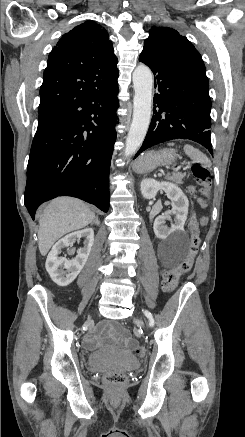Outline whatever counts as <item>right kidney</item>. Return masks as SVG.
<instances>
[{
  "mask_svg": "<svg viewBox=\"0 0 245 437\" xmlns=\"http://www.w3.org/2000/svg\"><path fill=\"white\" fill-rule=\"evenodd\" d=\"M84 237L83 247L77 251V256L68 260L60 257L59 254L64 247L72 246L77 240ZM94 242V231L92 228L72 232L60 239L52 248L46 259V270L53 282L59 286H67L72 283L83 269ZM74 253V250H70Z\"/></svg>",
  "mask_w": 245,
  "mask_h": 437,
  "instance_id": "ca27d5eb",
  "label": "right kidney"
}]
</instances>
